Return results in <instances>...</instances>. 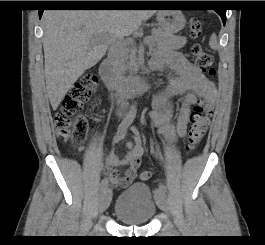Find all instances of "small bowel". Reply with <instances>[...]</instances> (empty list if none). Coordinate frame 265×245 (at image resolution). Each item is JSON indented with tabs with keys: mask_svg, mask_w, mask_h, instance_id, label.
<instances>
[{
	"mask_svg": "<svg viewBox=\"0 0 265 245\" xmlns=\"http://www.w3.org/2000/svg\"><path fill=\"white\" fill-rule=\"evenodd\" d=\"M149 66L153 71H167L170 77L164 89L153 99L154 110L149 117L152 124L167 141H174L186 135L190 123L191 109L197 103L210 86L209 82L201 74L200 70L187 61L178 52L165 57L153 55ZM180 98L179 110L176 115V125L171 124L175 117L174 98ZM133 142H127V152L123 158L119 157L113 149L107 156V162L103 167V175L116 188H127L136 176L143 156L142 139L136 128L131 129ZM126 131L116 132L112 146L119 143L125 137ZM120 165L127 166L125 173L120 175L117 168Z\"/></svg>",
	"mask_w": 265,
	"mask_h": 245,
	"instance_id": "c3829d8e",
	"label": "small bowel"
}]
</instances>
